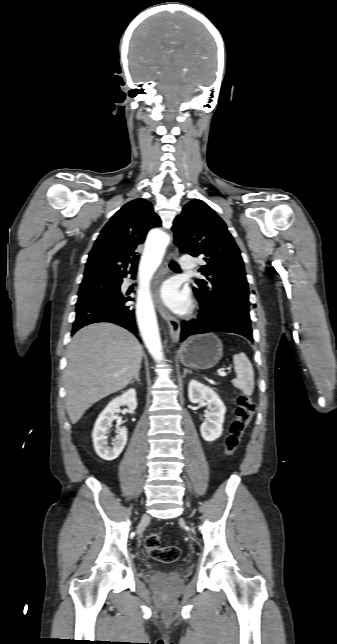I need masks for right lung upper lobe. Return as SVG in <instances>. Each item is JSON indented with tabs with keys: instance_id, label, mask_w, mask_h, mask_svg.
<instances>
[{
	"instance_id": "obj_1",
	"label": "right lung upper lobe",
	"mask_w": 337,
	"mask_h": 644,
	"mask_svg": "<svg viewBox=\"0 0 337 644\" xmlns=\"http://www.w3.org/2000/svg\"><path fill=\"white\" fill-rule=\"evenodd\" d=\"M161 220L149 201L135 199L117 211L101 230L89 253L82 282L95 279H120L137 269L136 248L147 232L160 227Z\"/></svg>"
}]
</instances>
